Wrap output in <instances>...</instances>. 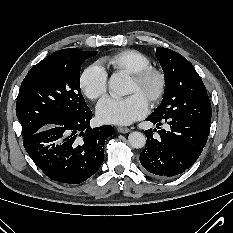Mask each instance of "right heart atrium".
I'll list each match as a JSON object with an SVG mask.
<instances>
[{"mask_svg":"<svg viewBox=\"0 0 233 233\" xmlns=\"http://www.w3.org/2000/svg\"><path fill=\"white\" fill-rule=\"evenodd\" d=\"M108 74L99 64H92L86 67L80 75L79 85L83 94L96 100L107 91Z\"/></svg>","mask_w":233,"mask_h":233,"instance_id":"1","label":"right heart atrium"}]
</instances>
